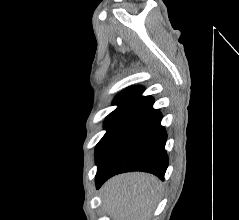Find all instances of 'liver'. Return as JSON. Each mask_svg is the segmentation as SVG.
Returning <instances> with one entry per match:
<instances>
[{"instance_id": "1", "label": "liver", "mask_w": 239, "mask_h": 220, "mask_svg": "<svg viewBox=\"0 0 239 220\" xmlns=\"http://www.w3.org/2000/svg\"><path fill=\"white\" fill-rule=\"evenodd\" d=\"M160 189L161 183L153 175L121 174L103 185V203L113 220H148Z\"/></svg>"}]
</instances>
